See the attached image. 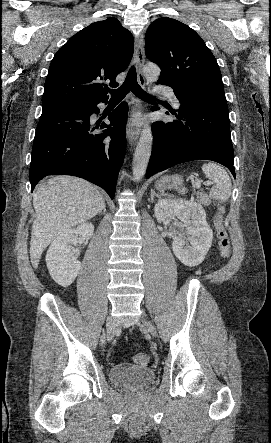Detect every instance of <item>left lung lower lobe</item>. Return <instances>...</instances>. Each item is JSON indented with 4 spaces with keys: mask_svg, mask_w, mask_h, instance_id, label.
Returning a JSON list of instances; mask_svg holds the SVG:
<instances>
[{
    "mask_svg": "<svg viewBox=\"0 0 271 443\" xmlns=\"http://www.w3.org/2000/svg\"><path fill=\"white\" fill-rule=\"evenodd\" d=\"M158 83L172 87L181 106L176 114L179 121H158L152 125L153 150L146 178L179 163L198 159L216 161L226 166L236 178L224 92L175 82L168 76H160ZM158 109L152 107V110Z\"/></svg>",
    "mask_w": 271,
    "mask_h": 443,
    "instance_id": "left-lung-lower-lobe-1",
    "label": "left lung lower lobe"
}]
</instances>
